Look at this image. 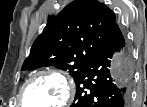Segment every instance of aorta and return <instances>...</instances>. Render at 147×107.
Masks as SVG:
<instances>
[{
	"instance_id": "obj_1",
	"label": "aorta",
	"mask_w": 147,
	"mask_h": 107,
	"mask_svg": "<svg viewBox=\"0 0 147 107\" xmlns=\"http://www.w3.org/2000/svg\"><path fill=\"white\" fill-rule=\"evenodd\" d=\"M110 72L115 82L123 80L130 72L128 68V57L121 52L116 53L111 62Z\"/></svg>"
}]
</instances>
